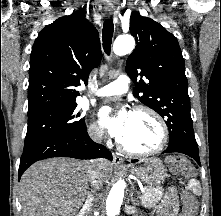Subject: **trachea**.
I'll return each instance as SVG.
<instances>
[{
    "instance_id": "obj_1",
    "label": "trachea",
    "mask_w": 221,
    "mask_h": 216,
    "mask_svg": "<svg viewBox=\"0 0 221 216\" xmlns=\"http://www.w3.org/2000/svg\"><path fill=\"white\" fill-rule=\"evenodd\" d=\"M113 31H114V25L112 19L105 20L102 30V40H103V49L107 55H110Z\"/></svg>"
}]
</instances>
